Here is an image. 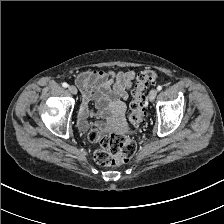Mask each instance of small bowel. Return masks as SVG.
<instances>
[{
	"label": "small bowel",
	"instance_id": "obj_1",
	"mask_svg": "<svg viewBox=\"0 0 224 224\" xmlns=\"http://www.w3.org/2000/svg\"><path fill=\"white\" fill-rule=\"evenodd\" d=\"M134 79V72H104L87 70L76 76V84L82 92V106L78 115V125L86 129L87 118L92 114V103L105 111L109 105L128 98V90Z\"/></svg>",
	"mask_w": 224,
	"mask_h": 224
}]
</instances>
